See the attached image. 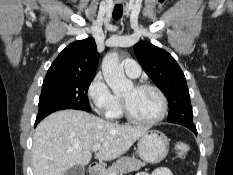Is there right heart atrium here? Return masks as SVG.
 <instances>
[{
    "label": "right heart atrium",
    "instance_id": "obj_1",
    "mask_svg": "<svg viewBox=\"0 0 233 175\" xmlns=\"http://www.w3.org/2000/svg\"><path fill=\"white\" fill-rule=\"evenodd\" d=\"M87 97L95 111L107 115L116 104V96L101 75H96L87 88Z\"/></svg>",
    "mask_w": 233,
    "mask_h": 175
}]
</instances>
